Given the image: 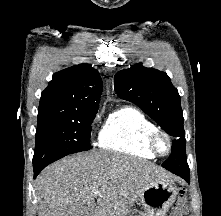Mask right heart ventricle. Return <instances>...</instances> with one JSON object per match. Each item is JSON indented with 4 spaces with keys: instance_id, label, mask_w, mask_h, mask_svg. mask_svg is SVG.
<instances>
[{
    "instance_id": "obj_1",
    "label": "right heart ventricle",
    "mask_w": 221,
    "mask_h": 216,
    "mask_svg": "<svg viewBox=\"0 0 221 216\" xmlns=\"http://www.w3.org/2000/svg\"><path fill=\"white\" fill-rule=\"evenodd\" d=\"M154 128L141 110L123 106L106 118L98 134V145L118 154L153 159L155 154L148 149L146 136Z\"/></svg>"
}]
</instances>
